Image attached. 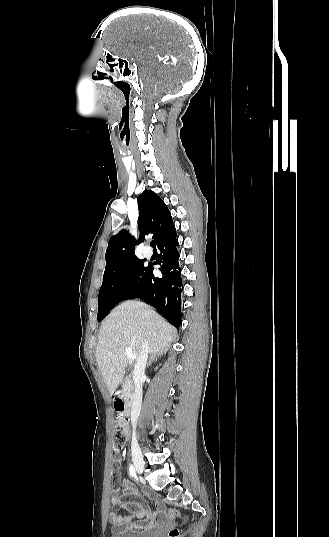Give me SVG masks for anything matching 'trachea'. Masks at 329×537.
I'll list each match as a JSON object with an SVG mask.
<instances>
[{"mask_svg":"<svg viewBox=\"0 0 329 537\" xmlns=\"http://www.w3.org/2000/svg\"><path fill=\"white\" fill-rule=\"evenodd\" d=\"M150 245H151L152 247H155V246H156L155 241H151Z\"/></svg>","mask_w":329,"mask_h":537,"instance_id":"3493384b","label":"trachea"}]
</instances>
